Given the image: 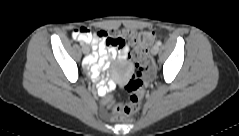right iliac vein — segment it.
I'll list each match as a JSON object with an SVG mask.
<instances>
[{
  "instance_id": "right-iliac-vein-1",
  "label": "right iliac vein",
  "mask_w": 239,
  "mask_h": 136,
  "mask_svg": "<svg viewBox=\"0 0 239 136\" xmlns=\"http://www.w3.org/2000/svg\"><path fill=\"white\" fill-rule=\"evenodd\" d=\"M82 51L84 54H88L90 52L89 46L85 45V47H82Z\"/></svg>"
}]
</instances>
